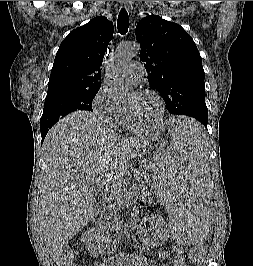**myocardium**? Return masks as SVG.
Here are the masks:
<instances>
[{"instance_id": "obj_1", "label": "myocardium", "mask_w": 253, "mask_h": 266, "mask_svg": "<svg viewBox=\"0 0 253 266\" xmlns=\"http://www.w3.org/2000/svg\"><path fill=\"white\" fill-rule=\"evenodd\" d=\"M135 93L139 95L153 96L158 101L160 111H159L158 118L155 122H153L152 124L148 126H140L139 124L135 122L132 115L125 109L126 120H127L128 126L134 131H151V130L158 128L163 123L164 118H165V112H166L165 102L162 96L158 92L152 89H142V90L136 91Z\"/></svg>"}]
</instances>
